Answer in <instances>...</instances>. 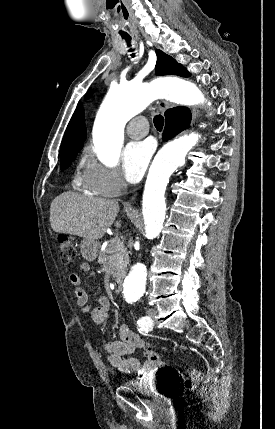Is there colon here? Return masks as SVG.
Segmentation results:
<instances>
[{"instance_id": "colon-1", "label": "colon", "mask_w": 275, "mask_h": 429, "mask_svg": "<svg viewBox=\"0 0 275 429\" xmlns=\"http://www.w3.org/2000/svg\"><path fill=\"white\" fill-rule=\"evenodd\" d=\"M59 253L60 259L64 264L73 262L76 257V249L74 244L66 238L61 239ZM145 354L151 363L159 367L165 366V360L159 354L154 352L150 347L145 349ZM200 380L201 372L199 369L194 368L190 371L189 378L185 381V387L189 390H193Z\"/></svg>"}]
</instances>
